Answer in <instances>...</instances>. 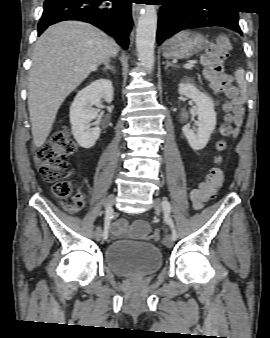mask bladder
<instances>
[{"mask_svg":"<svg viewBox=\"0 0 270 338\" xmlns=\"http://www.w3.org/2000/svg\"><path fill=\"white\" fill-rule=\"evenodd\" d=\"M163 255L154 245L140 242H111L105 248V265L115 275L126 278H146L162 266Z\"/></svg>","mask_w":270,"mask_h":338,"instance_id":"bladder-1","label":"bladder"}]
</instances>
